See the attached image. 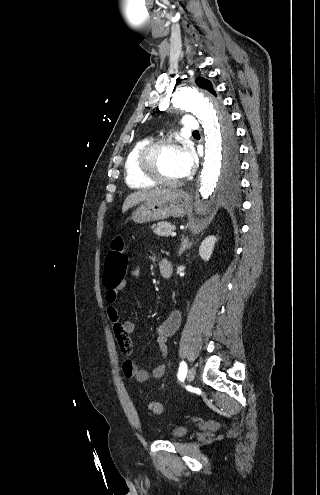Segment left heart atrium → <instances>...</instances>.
<instances>
[{"instance_id": "left-heart-atrium-1", "label": "left heart atrium", "mask_w": 320, "mask_h": 495, "mask_svg": "<svg viewBox=\"0 0 320 495\" xmlns=\"http://www.w3.org/2000/svg\"><path fill=\"white\" fill-rule=\"evenodd\" d=\"M182 164V177L188 176L194 165H195V155L190 148H184L181 156Z\"/></svg>"}]
</instances>
